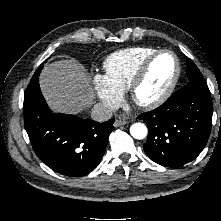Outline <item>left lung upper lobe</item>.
<instances>
[{
    "mask_svg": "<svg viewBox=\"0 0 221 221\" xmlns=\"http://www.w3.org/2000/svg\"><path fill=\"white\" fill-rule=\"evenodd\" d=\"M187 73L186 76L189 78L188 85L196 84V83H205V80L197 68V66L192 62L191 59L187 60Z\"/></svg>",
    "mask_w": 221,
    "mask_h": 221,
    "instance_id": "obj_1",
    "label": "left lung upper lobe"
}]
</instances>
